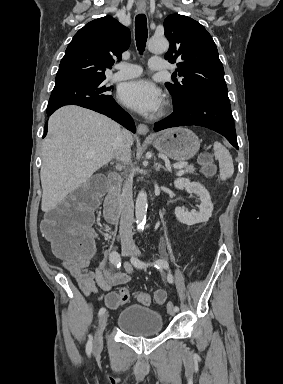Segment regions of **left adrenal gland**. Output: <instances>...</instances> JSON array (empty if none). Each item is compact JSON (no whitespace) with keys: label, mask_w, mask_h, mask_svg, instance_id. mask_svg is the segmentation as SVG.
<instances>
[{"label":"left adrenal gland","mask_w":283,"mask_h":384,"mask_svg":"<svg viewBox=\"0 0 283 384\" xmlns=\"http://www.w3.org/2000/svg\"><path fill=\"white\" fill-rule=\"evenodd\" d=\"M160 168H163L165 172H168L169 168H165V166H162V164H155V170L156 172H160Z\"/></svg>","instance_id":"1"}]
</instances>
